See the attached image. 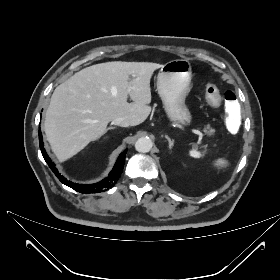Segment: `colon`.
<instances>
[{
    "mask_svg": "<svg viewBox=\"0 0 280 280\" xmlns=\"http://www.w3.org/2000/svg\"><path fill=\"white\" fill-rule=\"evenodd\" d=\"M205 98L211 106H218L221 101V95L214 84H208L205 87ZM223 101L227 108L228 114L225 117L226 126L229 132L236 135L241 130L243 111L237 103L235 92L228 90L223 93Z\"/></svg>",
    "mask_w": 280,
    "mask_h": 280,
    "instance_id": "5ec220e1",
    "label": "colon"
}]
</instances>
